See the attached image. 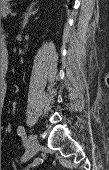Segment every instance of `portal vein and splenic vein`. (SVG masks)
<instances>
[{
  "label": "portal vein and splenic vein",
  "mask_w": 109,
  "mask_h": 170,
  "mask_svg": "<svg viewBox=\"0 0 109 170\" xmlns=\"http://www.w3.org/2000/svg\"><path fill=\"white\" fill-rule=\"evenodd\" d=\"M15 15H16V13H14V12H13V13H11V16H15Z\"/></svg>",
  "instance_id": "18ae733b"
}]
</instances>
